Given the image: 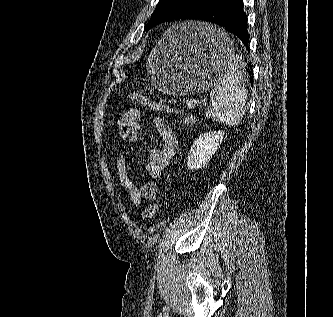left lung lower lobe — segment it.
Masks as SVG:
<instances>
[{
	"label": "left lung lower lobe",
	"mask_w": 333,
	"mask_h": 317,
	"mask_svg": "<svg viewBox=\"0 0 333 317\" xmlns=\"http://www.w3.org/2000/svg\"><path fill=\"white\" fill-rule=\"evenodd\" d=\"M184 19L203 20L217 24L236 35L249 51L247 15L243 11V0H214L208 5L188 13Z\"/></svg>",
	"instance_id": "obj_1"
}]
</instances>
